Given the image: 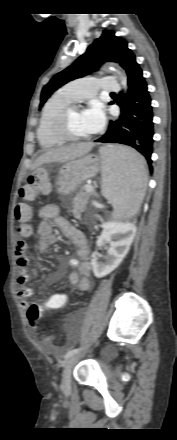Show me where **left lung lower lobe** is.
<instances>
[{
  "mask_svg": "<svg viewBox=\"0 0 177 440\" xmlns=\"http://www.w3.org/2000/svg\"><path fill=\"white\" fill-rule=\"evenodd\" d=\"M126 102H120L122 114L119 120L111 121L107 132L96 142L120 143L133 147L145 158L152 172L154 123L151 98L142 70L137 68L128 81Z\"/></svg>",
  "mask_w": 177,
  "mask_h": 440,
  "instance_id": "obj_1",
  "label": "left lung lower lobe"
}]
</instances>
